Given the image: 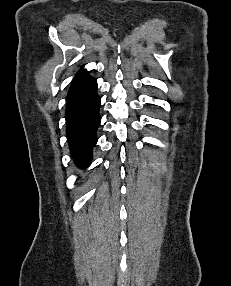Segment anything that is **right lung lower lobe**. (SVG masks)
Segmentation results:
<instances>
[{
    "label": "right lung lower lobe",
    "instance_id": "98d812e1",
    "mask_svg": "<svg viewBox=\"0 0 231 286\" xmlns=\"http://www.w3.org/2000/svg\"><path fill=\"white\" fill-rule=\"evenodd\" d=\"M100 98L97 81L81 70L67 94L66 133L74 162L86 167L92 159V148L97 142L96 131L101 122Z\"/></svg>",
    "mask_w": 231,
    "mask_h": 286
}]
</instances>
